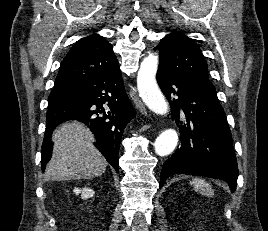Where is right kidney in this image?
Wrapping results in <instances>:
<instances>
[{
  "label": "right kidney",
  "mask_w": 268,
  "mask_h": 231,
  "mask_svg": "<svg viewBox=\"0 0 268 231\" xmlns=\"http://www.w3.org/2000/svg\"><path fill=\"white\" fill-rule=\"evenodd\" d=\"M73 192L78 195L81 194V197L83 199H88L94 196L95 192L91 189V188H83V189H79V188H75L73 190Z\"/></svg>",
  "instance_id": "1"
}]
</instances>
